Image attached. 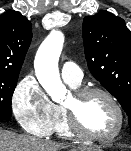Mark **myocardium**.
Listing matches in <instances>:
<instances>
[{
  "instance_id": "1",
  "label": "myocardium",
  "mask_w": 131,
  "mask_h": 151,
  "mask_svg": "<svg viewBox=\"0 0 131 151\" xmlns=\"http://www.w3.org/2000/svg\"><path fill=\"white\" fill-rule=\"evenodd\" d=\"M94 95L105 97L114 107L118 115V126L115 132L106 137L97 136L88 132L82 125L80 110L85 101ZM71 103L64 104L67 122L72 134L80 139L109 143L115 141L122 133L125 125V114L118 99L108 90L100 87H83L75 89L71 96Z\"/></svg>"
}]
</instances>
